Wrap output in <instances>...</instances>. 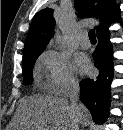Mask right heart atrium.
Wrapping results in <instances>:
<instances>
[{
  "instance_id": "right-heart-atrium-1",
  "label": "right heart atrium",
  "mask_w": 123,
  "mask_h": 130,
  "mask_svg": "<svg viewBox=\"0 0 123 130\" xmlns=\"http://www.w3.org/2000/svg\"><path fill=\"white\" fill-rule=\"evenodd\" d=\"M38 71L53 94H62L77 86L74 67L68 56L60 51L46 50L39 58Z\"/></svg>"
}]
</instances>
